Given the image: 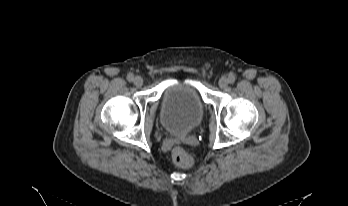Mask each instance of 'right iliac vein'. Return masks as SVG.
<instances>
[{"mask_svg":"<svg viewBox=\"0 0 348 206\" xmlns=\"http://www.w3.org/2000/svg\"><path fill=\"white\" fill-rule=\"evenodd\" d=\"M133 83L136 87H141L143 85V79L140 76H136L133 80Z\"/></svg>","mask_w":348,"mask_h":206,"instance_id":"obj_1","label":"right iliac vein"}]
</instances>
